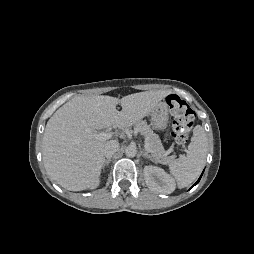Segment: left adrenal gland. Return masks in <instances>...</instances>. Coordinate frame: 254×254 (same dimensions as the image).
Returning <instances> with one entry per match:
<instances>
[{
	"label": "left adrenal gland",
	"mask_w": 254,
	"mask_h": 254,
	"mask_svg": "<svg viewBox=\"0 0 254 254\" xmlns=\"http://www.w3.org/2000/svg\"><path fill=\"white\" fill-rule=\"evenodd\" d=\"M142 155H143L145 158H148V159H150L151 161L155 162V160L146 152V150H143V151H142Z\"/></svg>",
	"instance_id": "left-adrenal-gland-1"
}]
</instances>
